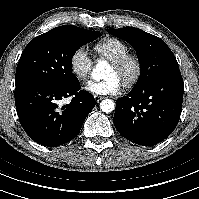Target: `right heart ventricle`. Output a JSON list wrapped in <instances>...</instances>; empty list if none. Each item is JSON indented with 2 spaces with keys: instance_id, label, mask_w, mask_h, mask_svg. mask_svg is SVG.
Segmentation results:
<instances>
[{
  "instance_id": "right-heart-ventricle-1",
  "label": "right heart ventricle",
  "mask_w": 199,
  "mask_h": 199,
  "mask_svg": "<svg viewBox=\"0 0 199 199\" xmlns=\"http://www.w3.org/2000/svg\"><path fill=\"white\" fill-rule=\"evenodd\" d=\"M93 48L99 57L110 62L129 52V46L124 41L114 37L97 42Z\"/></svg>"
}]
</instances>
